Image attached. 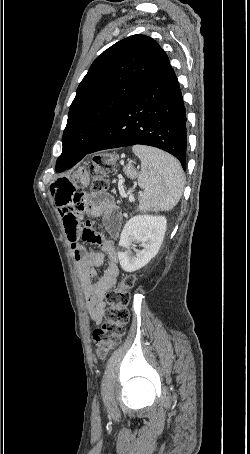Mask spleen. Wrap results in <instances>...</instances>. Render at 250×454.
Returning <instances> with one entry per match:
<instances>
[{
    "mask_svg": "<svg viewBox=\"0 0 250 454\" xmlns=\"http://www.w3.org/2000/svg\"><path fill=\"white\" fill-rule=\"evenodd\" d=\"M133 152L141 161L138 185L144 189L140 211L171 210L179 202L185 184L180 163L158 149L135 145Z\"/></svg>",
    "mask_w": 250,
    "mask_h": 454,
    "instance_id": "obj_1",
    "label": "spleen"
}]
</instances>
